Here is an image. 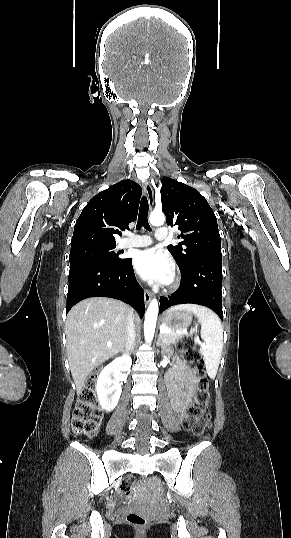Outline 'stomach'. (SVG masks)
Wrapping results in <instances>:
<instances>
[{"label":"stomach","mask_w":291,"mask_h":538,"mask_svg":"<svg viewBox=\"0 0 291 538\" xmlns=\"http://www.w3.org/2000/svg\"><path fill=\"white\" fill-rule=\"evenodd\" d=\"M192 322V315L185 310L168 311L164 314L163 325L172 330H183Z\"/></svg>","instance_id":"1"}]
</instances>
